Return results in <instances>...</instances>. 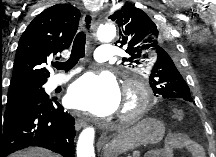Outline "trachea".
<instances>
[{
    "label": "trachea",
    "instance_id": "3493384b",
    "mask_svg": "<svg viewBox=\"0 0 216 157\" xmlns=\"http://www.w3.org/2000/svg\"><path fill=\"white\" fill-rule=\"evenodd\" d=\"M86 34L79 32L73 42L70 58L66 62H55L53 66L59 70L68 71L74 67L79 59L85 56Z\"/></svg>",
    "mask_w": 216,
    "mask_h": 157
}]
</instances>
